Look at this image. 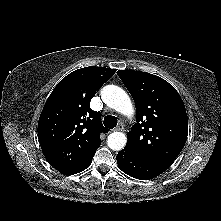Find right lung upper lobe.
Segmentation results:
<instances>
[{
	"instance_id": "right-lung-upper-lobe-1",
	"label": "right lung upper lobe",
	"mask_w": 221,
	"mask_h": 221,
	"mask_svg": "<svg viewBox=\"0 0 221 221\" xmlns=\"http://www.w3.org/2000/svg\"><path fill=\"white\" fill-rule=\"evenodd\" d=\"M115 69L85 67L63 78L54 88L41 112L38 139L48 162L69 174L94 155L101 144L100 133L108 132L100 115L90 108L96 91Z\"/></svg>"
}]
</instances>
